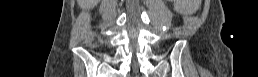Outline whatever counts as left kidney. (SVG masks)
Listing matches in <instances>:
<instances>
[{"instance_id":"1","label":"left kidney","mask_w":258,"mask_h":77,"mask_svg":"<svg viewBox=\"0 0 258 77\" xmlns=\"http://www.w3.org/2000/svg\"><path fill=\"white\" fill-rule=\"evenodd\" d=\"M175 9L181 14H191L195 8L191 6V0H174Z\"/></svg>"}]
</instances>
